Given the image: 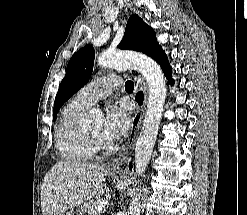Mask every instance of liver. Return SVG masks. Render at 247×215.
<instances>
[{
    "instance_id": "6515ba94",
    "label": "liver",
    "mask_w": 247,
    "mask_h": 215,
    "mask_svg": "<svg viewBox=\"0 0 247 215\" xmlns=\"http://www.w3.org/2000/svg\"><path fill=\"white\" fill-rule=\"evenodd\" d=\"M105 173L98 164L57 162L43 180V215H64L68 209L99 198L105 189Z\"/></svg>"
}]
</instances>
